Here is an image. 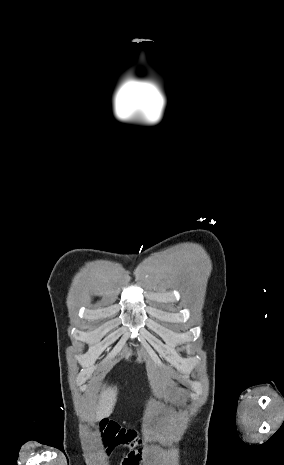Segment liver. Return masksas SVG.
Returning a JSON list of instances; mask_svg holds the SVG:
<instances>
[{
    "label": "liver",
    "instance_id": "1",
    "mask_svg": "<svg viewBox=\"0 0 284 465\" xmlns=\"http://www.w3.org/2000/svg\"><path fill=\"white\" fill-rule=\"evenodd\" d=\"M117 395V387H102L99 403L94 413L90 415L91 421H102L105 417H110L117 401Z\"/></svg>",
    "mask_w": 284,
    "mask_h": 465
}]
</instances>
